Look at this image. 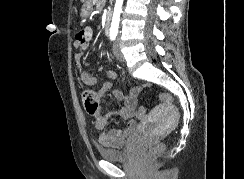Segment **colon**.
<instances>
[{
  "label": "colon",
  "mask_w": 244,
  "mask_h": 179,
  "mask_svg": "<svg viewBox=\"0 0 244 179\" xmlns=\"http://www.w3.org/2000/svg\"><path fill=\"white\" fill-rule=\"evenodd\" d=\"M158 98H161L163 102L174 101V96H170V93H158ZM81 99L85 107L86 112L89 115H95L99 112V103L97 101L96 93L89 88L83 89L81 92ZM146 111V104H137V111H132V116H137L138 119H147L148 115L143 114ZM157 147H150V150H145L143 154L144 158H153L157 155V152L164 151V142H157Z\"/></svg>",
  "instance_id": "colon-1"
}]
</instances>
